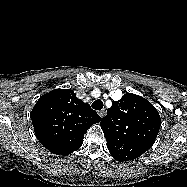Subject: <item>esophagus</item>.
Masks as SVG:
<instances>
[{
  "label": "esophagus",
  "instance_id": "1",
  "mask_svg": "<svg viewBox=\"0 0 187 187\" xmlns=\"http://www.w3.org/2000/svg\"><path fill=\"white\" fill-rule=\"evenodd\" d=\"M105 114H106V110H105V109H102V110L98 111V115H99L101 118H103V117L105 116Z\"/></svg>",
  "mask_w": 187,
  "mask_h": 187
}]
</instances>
